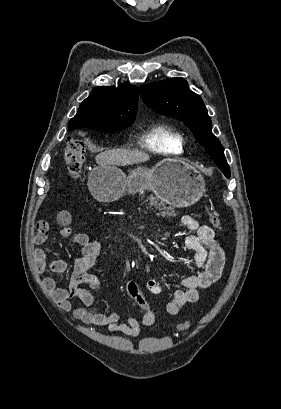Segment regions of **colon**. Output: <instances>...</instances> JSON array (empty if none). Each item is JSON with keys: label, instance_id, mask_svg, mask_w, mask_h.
<instances>
[{"label": "colon", "instance_id": "colon-1", "mask_svg": "<svg viewBox=\"0 0 281 409\" xmlns=\"http://www.w3.org/2000/svg\"><path fill=\"white\" fill-rule=\"evenodd\" d=\"M84 161L83 145L76 140H70L64 152V163L70 174H76L82 167ZM209 220L216 228L221 227V219L216 212L208 213ZM190 326V325H189ZM182 329L187 327L185 322L180 324ZM176 332V331H175Z\"/></svg>", "mask_w": 281, "mask_h": 409}]
</instances>
